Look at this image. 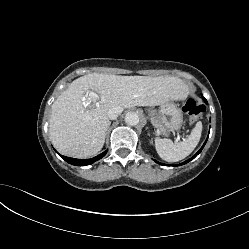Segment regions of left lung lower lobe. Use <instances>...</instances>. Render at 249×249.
<instances>
[{"label": "left lung lower lobe", "instance_id": "0a47b994", "mask_svg": "<svg viewBox=\"0 0 249 249\" xmlns=\"http://www.w3.org/2000/svg\"><path fill=\"white\" fill-rule=\"evenodd\" d=\"M203 100L205 101V103H207V100H206L204 97H203ZM206 142H207V140L205 141V143L203 144V146L201 147V149H200L193 157H191V158L188 159L187 161L181 163L180 165L186 164V163H188L189 161L193 160V159L202 151V149H203V147L205 146ZM155 162L158 163V164L163 165L162 163L157 162L156 160H155Z\"/></svg>", "mask_w": 249, "mask_h": 249}]
</instances>
